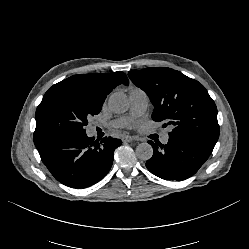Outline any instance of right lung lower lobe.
Instances as JSON below:
<instances>
[{"label": "right lung lower lobe", "instance_id": "1", "mask_svg": "<svg viewBox=\"0 0 249 249\" xmlns=\"http://www.w3.org/2000/svg\"><path fill=\"white\" fill-rule=\"evenodd\" d=\"M34 143L52 175L72 188H86L100 181L110 170L120 139L104 137L100 142L82 134L36 136Z\"/></svg>", "mask_w": 249, "mask_h": 249}]
</instances>
